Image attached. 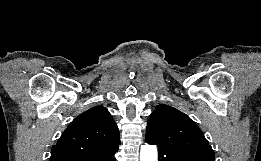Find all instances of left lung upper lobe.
<instances>
[{"label": "left lung upper lobe", "mask_w": 261, "mask_h": 161, "mask_svg": "<svg viewBox=\"0 0 261 161\" xmlns=\"http://www.w3.org/2000/svg\"><path fill=\"white\" fill-rule=\"evenodd\" d=\"M145 139L160 147H177L214 159L212 147L200 128L186 114L165 104L151 113Z\"/></svg>", "instance_id": "left-lung-upper-lobe-1"}]
</instances>
